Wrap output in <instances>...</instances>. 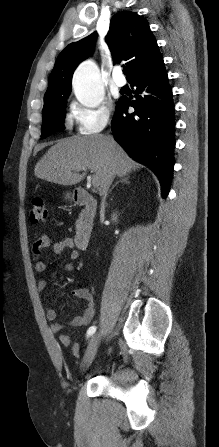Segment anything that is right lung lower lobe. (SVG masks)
I'll return each mask as SVG.
<instances>
[{"label":"right lung lower lobe","mask_w":219,"mask_h":447,"mask_svg":"<svg viewBox=\"0 0 219 447\" xmlns=\"http://www.w3.org/2000/svg\"><path fill=\"white\" fill-rule=\"evenodd\" d=\"M130 84L141 95L132 102L126 97L118 100L111 129L125 151L155 173L166 198L174 167L175 108L163 58ZM129 106L134 113L128 112Z\"/></svg>","instance_id":"right-lung-lower-lobe-1"}]
</instances>
